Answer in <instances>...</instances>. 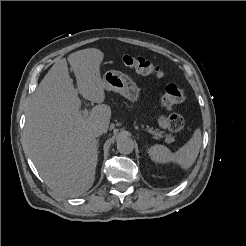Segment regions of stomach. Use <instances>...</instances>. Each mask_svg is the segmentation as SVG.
Segmentation results:
<instances>
[{"label": "stomach", "instance_id": "obj_1", "mask_svg": "<svg viewBox=\"0 0 246 246\" xmlns=\"http://www.w3.org/2000/svg\"><path fill=\"white\" fill-rule=\"evenodd\" d=\"M102 80L106 90L117 92L133 103L137 102L140 89L126 74L110 70L103 75Z\"/></svg>", "mask_w": 246, "mask_h": 246}]
</instances>
